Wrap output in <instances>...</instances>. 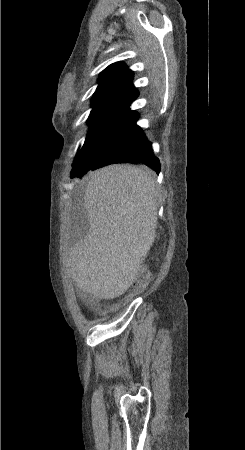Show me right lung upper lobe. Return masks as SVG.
<instances>
[{"instance_id": "right-lung-upper-lobe-1", "label": "right lung upper lobe", "mask_w": 245, "mask_h": 450, "mask_svg": "<svg viewBox=\"0 0 245 450\" xmlns=\"http://www.w3.org/2000/svg\"><path fill=\"white\" fill-rule=\"evenodd\" d=\"M132 76V71L121 62L108 66L99 76V85L91 99L93 109L130 111L131 102L138 96Z\"/></svg>"}]
</instances>
